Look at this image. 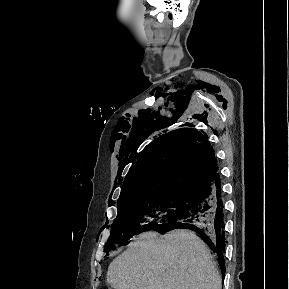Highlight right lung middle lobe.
I'll return each instance as SVG.
<instances>
[{
  "mask_svg": "<svg viewBox=\"0 0 289 289\" xmlns=\"http://www.w3.org/2000/svg\"><path fill=\"white\" fill-rule=\"evenodd\" d=\"M196 193L170 191L141 195L118 203V214L104 252L129 243L144 231L157 230L174 218L184 215L193 205Z\"/></svg>",
  "mask_w": 289,
  "mask_h": 289,
  "instance_id": "1",
  "label": "right lung middle lobe"
}]
</instances>
